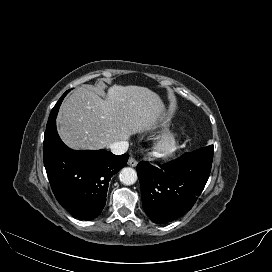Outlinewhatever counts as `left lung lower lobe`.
Instances as JSON below:
<instances>
[{
  "instance_id": "obj_1",
  "label": "left lung lower lobe",
  "mask_w": 272,
  "mask_h": 272,
  "mask_svg": "<svg viewBox=\"0 0 272 272\" xmlns=\"http://www.w3.org/2000/svg\"><path fill=\"white\" fill-rule=\"evenodd\" d=\"M213 148L210 145L185 153L160 168L145 161L138 163L142 206L154 223L173 221L193 207L209 178Z\"/></svg>"
}]
</instances>
